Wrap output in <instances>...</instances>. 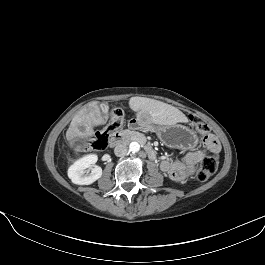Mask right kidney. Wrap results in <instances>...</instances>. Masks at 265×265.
<instances>
[{
    "label": "right kidney",
    "instance_id": "1",
    "mask_svg": "<svg viewBox=\"0 0 265 265\" xmlns=\"http://www.w3.org/2000/svg\"><path fill=\"white\" fill-rule=\"evenodd\" d=\"M97 155L91 154L75 161L68 169V177L77 185H90L102 176V169L94 164Z\"/></svg>",
    "mask_w": 265,
    "mask_h": 265
}]
</instances>
